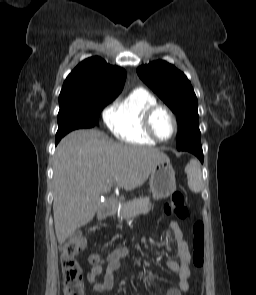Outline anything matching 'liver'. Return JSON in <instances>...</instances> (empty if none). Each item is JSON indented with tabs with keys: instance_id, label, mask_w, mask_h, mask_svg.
Masks as SVG:
<instances>
[{
	"instance_id": "liver-1",
	"label": "liver",
	"mask_w": 256,
	"mask_h": 295,
	"mask_svg": "<svg viewBox=\"0 0 256 295\" xmlns=\"http://www.w3.org/2000/svg\"><path fill=\"white\" fill-rule=\"evenodd\" d=\"M167 158L157 148L124 145L96 129L66 135L53 163V214L59 244L94 218L100 196L112 182L125 190L138 188Z\"/></svg>"
}]
</instances>
